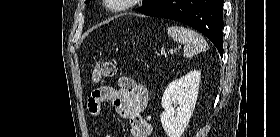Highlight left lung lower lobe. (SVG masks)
<instances>
[{"instance_id": "0a47b994", "label": "left lung lower lobe", "mask_w": 280, "mask_h": 137, "mask_svg": "<svg viewBox=\"0 0 280 137\" xmlns=\"http://www.w3.org/2000/svg\"><path fill=\"white\" fill-rule=\"evenodd\" d=\"M224 0H162L145 15L163 17L189 25L200 31L223 54Z\"/></svg>"}]
</instances>
